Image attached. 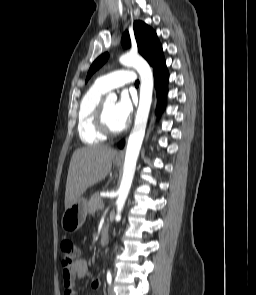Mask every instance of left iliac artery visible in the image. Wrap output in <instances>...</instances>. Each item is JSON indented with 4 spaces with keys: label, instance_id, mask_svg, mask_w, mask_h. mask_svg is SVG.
Masks as SVG:
<instances>
[{
    "label": "left iliac artery",
    "instance_id": "left-iliac-artery-1",
    "mask_svg": "<svg viewBox=\"0 0 256 295\" xmlns=\"http://www.w3.org/2000/svg\"><path fill=\"white\" fill-rule=\"evenodd\" d=\"M106 277H107V282L110 285L111 282H112V275H111L110 270L107 271V276Z\"/></svg>",
    "mask_w": 256,
    "mask_h": 295
}]
</instances>
